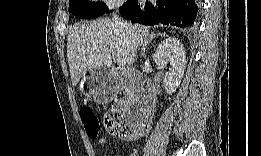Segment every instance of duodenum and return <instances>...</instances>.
Segmentation results:
<instances>
[{"label":"duodenum","mask_w":261,"mask_h":156,"mask_svg":"<svg viewBox=\"0 0 261 156\" xmlns=\"http://www.w3.org/2000/svg\"><path fill=\"white\" fill-rule=\"evenodd\" d=\"M115 78L124 83L129 80V73L125 69L113 68ZM154 88L146 79L138 81V89L128 98V112L130 120L135 124L147 123L154 111Z\"/></svg>","instance_id":"obj_1"}]
</instances>
